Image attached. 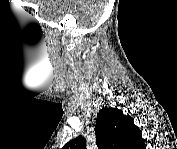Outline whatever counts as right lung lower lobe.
Here are the masks:
<instances>
[{
  "label": "right lung lower lobe",
  "instance_id": "right-lung-lower-lobe-1",
  "mask_svg": "<svg viewBox=\"0 0 177 149\" xmlns=\"http://www.w3.org/2000/svg\"><path fill=\"white\" fill-rule=\"evenodd\" d=\"M144 146H145V144H144V145H142V146H141V148H143Z\"/></svg>",
  "mask_w": 177,
  "mask_h": 149
}]
</instances>
